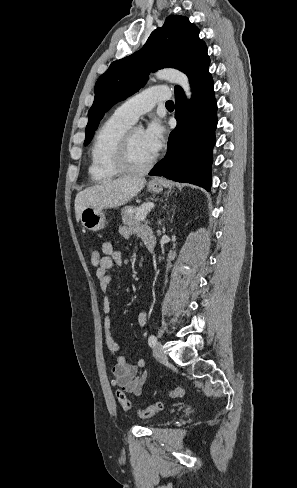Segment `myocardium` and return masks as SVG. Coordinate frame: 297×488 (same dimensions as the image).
Here are the masks:
<instances>
[{
	"label": "myocardium",
	"instance_id": "f54148a6",
	"mask_svg": "<svg viewBox=\"0 0 297 488\" xmlns=\"http://www.w3.org/2000/svg\"><path fill=\"white\" fill-rule=\"evenodd\" d=\"M132 131H127L121 138L116 154H115V166L124 174H139L149 171L156 163V156H154L146 165L141 167L133 166L130 163V141Z\"/></svg>",
	"mask_w": 297,
	"mask_h": 488
}]
</instances>
